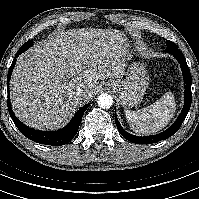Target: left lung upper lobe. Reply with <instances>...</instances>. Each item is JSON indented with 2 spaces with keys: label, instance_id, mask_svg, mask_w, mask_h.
I'll list each match as a JSON object with an SVG mask.
<instances>
[{
  "label": "left lung upper lobe",
  "instance_id": "obj_1",
  "mask_svg": "<svg viewBox=\"0 0 199 199\" xmlns=\"http://www.w3.org/2000/svg\"><path fill=\"white\" fill-rule=\"evenodd\" d=\"M168 47H173V46H176L172 41H167V44H166Z\"/></svg>",
  "mask_w": 199,
  "mask_h": 199
}]
</instances>
